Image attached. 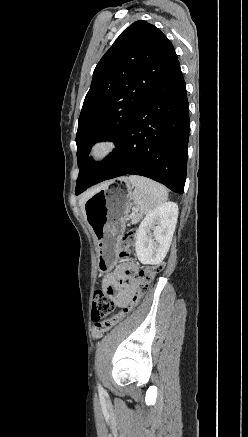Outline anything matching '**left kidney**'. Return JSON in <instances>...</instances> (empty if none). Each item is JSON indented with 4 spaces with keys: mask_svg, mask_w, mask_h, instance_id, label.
Masks as SVG:
<instances>
[{
    "mask_svg": "<svg viewBox=\"0 0 248 437\" xmlns=\"http://www.w3.org/2000/svg\"><path fill=\"white\" fill-rule=\"evenodd\" d=\"M178 218V206L167 202L149 212L136 232L135 250L142 264L156 265L165 258ZM153 230V233H149Z\"/></svg>",
    "mask_w": 248,
    "mask_h": 437,
    "instance_id": "5707ae66",
    "label": "left kidney"
}]
</instances>
